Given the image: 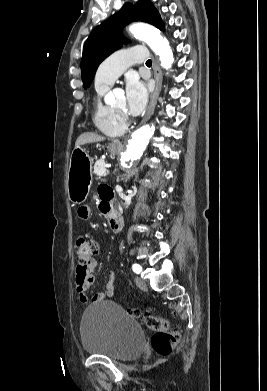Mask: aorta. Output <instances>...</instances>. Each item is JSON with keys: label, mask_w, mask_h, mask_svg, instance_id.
Here are the masks:
<instances>
[{"label": "aorta", "mask_w": 267, "mask_h": 391, "mask_svg": "<svg viewBox=\"0 0 267 391\" xmlns=\"http://www.w3.org/2000/svg\"><path fill=\"white\" fill-rule=\"evenodd\" d=\"M129 31L139 40L148 44L153 52L159 56L161 65L170 69L174 57L168 41L161 36L160 31L150 25L136 23L129 27ZM155 131L154 125H144L137 129L131 136L126 149L121 153V164L124 167H131L132 163L138 160Z\"/></svg>", "instance_id": "1"}]
</instances>
